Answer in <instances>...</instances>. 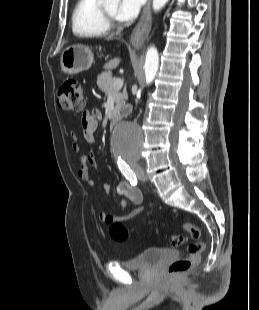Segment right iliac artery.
I'll return each instance as SVG.
<instances>
[{
	"mask_svg": "<svg viewBox=\"0 0 259 310\" xmlns=\"http://www.w3.org/2000/svg\"><path fill=\"white\" fill-rule=\"evenodd\" d=\"M118 167L122 174L130 181L132 185L137 184V178L133 170L122 160L118 161Z\"/></svg>",
	"mask_w": 259,
	"mask_h": 310,
	"instance_id": "82829eb1",
	"label": "right iliac artery"
}]
</instances>
